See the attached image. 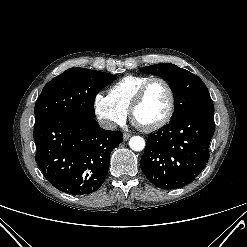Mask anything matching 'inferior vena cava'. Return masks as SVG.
I'll return each instance as SVG.
<instances>
[{
	"instance_id": "inferior-vena-cava-1",
	"label": "inferior vena cava",
	"mask_w": 247,
	"mask_h": 247,
	"mask_svg": "<svg viewBox=\"0 0 247 247\" xmlns=\"http://www.w3.org/2000/svg\"><path fill=\"white\" fill-rule=\"evenodd\" d=\"M98 123L103 129L107 130H114L117 127L116 123L107 119H99Z\"/></svg>"
}]
</instances>
